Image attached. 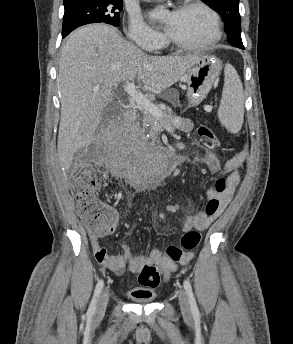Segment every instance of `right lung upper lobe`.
<instances>
[{"label":"right lung upper lobe","instance_id":"obj_1","mask_svg":"<svg viewBox=\"0 0 293 344\" xmlns=\"http://www.w3.org/2000/svg\"><path fill=\"white\" fill-rule=\"evenodd\" d=\"M75 1H78V0H64V4H66V3H71V2H75Z\"/></svg>","mask_w":293,"mask_h":344}]
</instances>
